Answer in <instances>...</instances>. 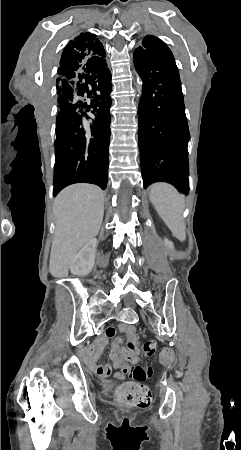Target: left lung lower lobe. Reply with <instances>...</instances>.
Here are the masks:
<instances>
[{"label":"left lung lower lobe","instance_id":"1","mask_svg":"<svg viewBox=\"0 0 241 450\" xmlns=\"http://www.w3.org/2000/svg\"><path fill=\"white\" fill-rule=\"evenodd\" d=\"M134 65L143 80L138 108L143 185L167 182L185 194L188 187L189 129L179 71L170 49H135Z\"/></svg>","mask_w":241,"mask_h":450}]
</instances>
